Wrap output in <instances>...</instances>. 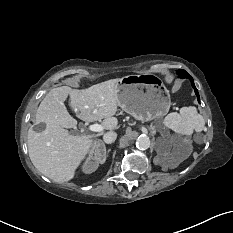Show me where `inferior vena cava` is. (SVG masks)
Segmentation results:
<instances>
[{
	"instance_id": "1",
	"label": "inferior vena cava",
	"mask_w": 233,
	"mask_h": 233,
	"mask_svg": "<svg viewBox=\"0 0 233 233\" xmlns=\"http://www.w3.org/2000/svg\"><path fill=\"white\" fill-rule=\"evenodd\" d=\"M116 138H117V134L113 131H109L105 133L103 136V140L107 144L113 143L116 140Z\"/></svg>"
}]
</instances>
